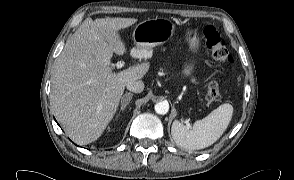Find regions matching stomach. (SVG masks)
Instances as JSON below:
<instances>
[{"label":"stomach","mask_w":294,"mask_h":180,"mask_svg":"<svg viewBox=\"0 0 294 180\" xmlns=\"http://www.w3.org/2000/svg\"><path fill=\"white\" fill-rule=\"evenodd\" d=\"M175 24L169 18H154L144 20L136 25L133 31V41L135 44L134 53L138 57H145L152 48L162 45L169 41L174 33ZM185 38L191 48L196 50L199 46V38L196 29H189ZM192 65H187L184 69L185 74H190Z\"/></svg>","instance_id":"obj_1"}]
</instances>
